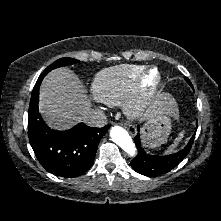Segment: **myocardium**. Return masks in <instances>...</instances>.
Here are the masks:
<instances>
[{"mask_svg": "<svg viewBox=\"0 0 221 221\" xmlns=\"http://www.w3.org/2000/svg\"><path fill=\"white\" fill-rule=\"evenodd\" d=\"M154 73L155 79L146 85L149 76ZM162 85V75L157 67L144 68L135 78L132 89L127 97L124 108L126 115L131 119H140L148 111L152 101Z\"/></svg>", "mask_w": 221, "mask_h": 221, "instance_id": "obj_1", "label": "myocardium"}]
</instances>
